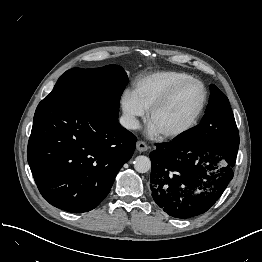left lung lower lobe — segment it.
Masks as SVG:
<instances>
[{"label": "left lung lower lobe", "instance_id": "obj_1", "mask_svg": "<svg viewBox=\"0 0 262 262\" xmlns=\"http://www.w3.org/2000/svg\"><path fill=\"white\" fill-rule=\"evenodd\" d=\"M239 133L201 143L175 138L150 153V188L156 204L175 218L205 213L233 178Z\"/></svg>", "mask_w": 262, "mask_h": 262}]
</instances>
